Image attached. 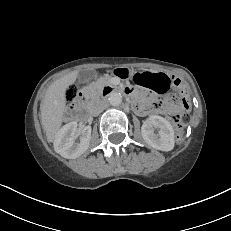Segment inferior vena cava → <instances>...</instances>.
<instances>
[{"label":"inferior vena cava","mask_w":231,"mask_h":231,"mask_svg":"<svg viewBox=\"0 0 231 231\" xmlns=\"http://www.w3.org/2000/svg\"><path fill=\"white\" fill-rule=\"evenodd\" d=\"M105 107H106L105 104L98 106L94 112V115H98L99 113H101L105 109Z\"/></svg>","instance_id":"602c4592"}]
</instances>
